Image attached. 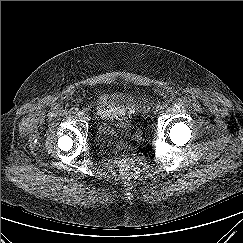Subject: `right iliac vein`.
<instances>
[{
	"instance_id": "obj_1",
	"label": "right iliac vein",
	"mask_w": 243,
	"mask_h": 243,
	"mask_svg": "<svg viewBox=\"0 0 243 243\" xmlns=\"http://www.w3.org/2000/svg\"><path fill=\"white\" fill-rule=\"evenodd\" d=\"M85 115L86 114L83 111L79 113V116L82 117V118L85 117Z\"/></svg>"
}]
</instances>
